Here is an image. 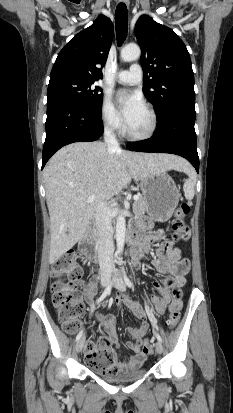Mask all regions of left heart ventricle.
Returning a JSON list of instances; mask_svg holds the SVG:
<instances>
[{"label": "left heart ventricle", "instance_id": "1", "mask_svg": "<svg viewBox=\"0 0 233 413\" xmlns=\"http://www.w3.org/2000/svg\"><path fill=\"white\" fill-rule=\"evenodd\" d=\"M149 123V116L144 108L139 113V115L127 126L132 133L141 134L147 131Z\"/></svg>", "mask_w": 233, "mask_h": 413}]
</instances>
